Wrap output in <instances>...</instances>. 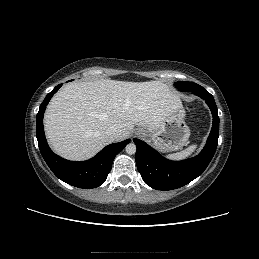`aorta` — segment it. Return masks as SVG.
I'll return each instance as SVG.
<instances>
[{
	"instance_id": "1",
	"label": "aorta",
	"mask_w": 259,
	"mask_h": 259,
	"mask_svg": "<svg viewBox=\"0 0 259 259\" xmlns=\"http://www.w3.org/2000/svg\"><path fill=\"white\" fill-rule=\"evenodd\" d=\"M126 153L132 155L136 153V145L134 143H129L125 147Z\"/></svg>"
}]
</instances>
